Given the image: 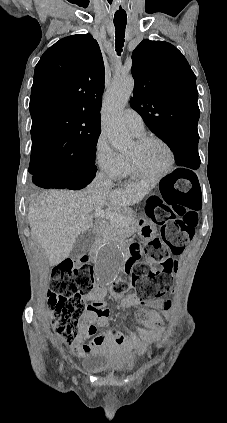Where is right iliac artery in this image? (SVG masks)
Here are the masks:
<instances>
[{
  "label": "right iliac artery",
  "mask_w": 227,
  "mask_h": 423,
  "mask_svg": "<svg viewBox=\"0 0 227 423\" xmlns=\"http://www.w3.org/2000/svg\"><path fill=\"white\" fill-rule=\"evenodd\" d=\"M62 367H63V365L61 364V366H60V371L62 370Z\"/></svg>",
  "instance_id": "82829eb1"
}]
</instances>
